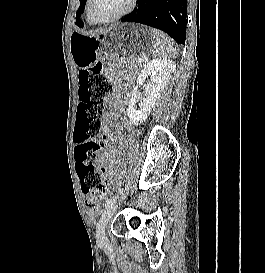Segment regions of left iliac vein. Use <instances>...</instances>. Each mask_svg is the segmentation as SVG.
<instances>
[{
  "label": "left iliac vein",
  "mask_w": 265,
  "mask_h": 273,
  "mask_svg": "<svg viewBox=\"0 0 265 273\" xmlns=\"http://www.w3.org/2000/svg\"><path fill=\"white\" fill-rule=\"evenodd\" d=\"M118 205L117 204H112L109 206L102 214L98 225H97V230H96V242L97 245L101 248H107L108 247V240L106 237V226L109 223L111 217L117 210Z\"/></svg>",
  "instance_id": "obj_1"
}]
</instances>
